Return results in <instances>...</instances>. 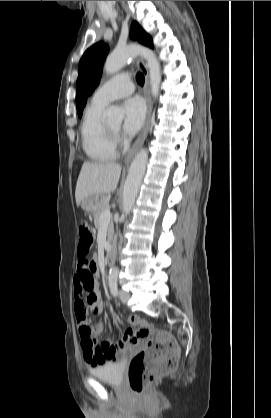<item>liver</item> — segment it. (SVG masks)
I'll return each instance as SVG.
<instances>
[{"instance_id":"6515ba94","label":"liver","mask_w":271,"mask_h":418,"mask_svg":"<svg viewBox=\"0 0 271 418\" xmlns=\"http://www.w3.org/2000/svg\"><path fill=\"white\" fill-rule=\"evenodd\" d=\"M121 165L117 163L84 162L77 180L75 199L77 206L91 195L114 192L120 178Z\"/></svg>"}]
</instances>
